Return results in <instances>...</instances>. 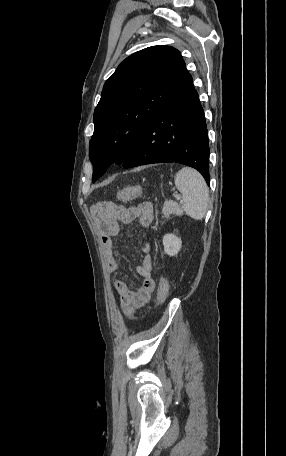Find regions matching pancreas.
<instances>
[{"label": "pancreas", "instance_id": "pancreas-1", "mask_svg": "<svg viewBox=\"0 0 286 456\" xmlns=\"http://www.w3.org/2000/svg\"><path fill=\"white\" fill-rule=\"evenodd\" d=\"M162 214L165 218H168L171 214L181 216L183 215V211L178 203L166 200L163 204Z\"/></svg>", "mask_w": 286, "mask_h": 456}]
</instances>
